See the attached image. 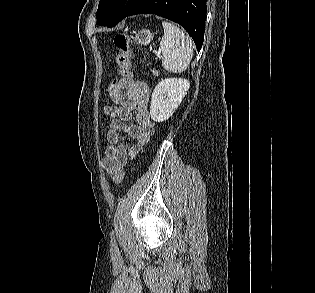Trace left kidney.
I'll list each match as a JSON object with an SVG mask.
<instances>
[{
  "mask_svg": "<svg viewBox=\"0 0 315 293\" xmlns=\"http://www.w3.org/2000/svg\"><path fill=\"white\" fill-rule=\"evenodd\" d=\"M190 87L183 78H167L155 87L150 106V115L155 122L168 120L182 102Z\"/></svg>",
  "mask_w": 315,
  "mask_h": 293,
  "instance_id": "left-kidney-1",
  "label": "left kidney"
}]
</instances>
